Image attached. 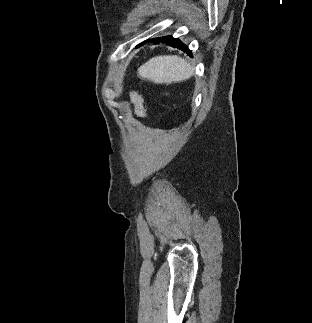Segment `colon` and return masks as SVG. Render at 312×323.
<instances>
[{
  "label": "colon",
  "mask_w": 312,
  "mask_h": 323,
  "mask_svg": "<svg viewBox=\"0 0 312 323\" xmlns=\"http://www.w3.org/2000/svg\"><path fill=\"white\" fill-rule=\"evenodd\" d=\"M130 98L135 106L137 116L144 119L146 117V107L142 95L136 90H131Z\"/></svg>",
  "instance_id": "5ec220e1"
}]
</instances>
